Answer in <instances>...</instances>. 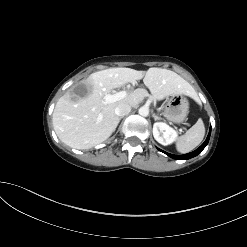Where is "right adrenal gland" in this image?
Masks as SVG:
<instances>
[{
	"mask_svg": "<svg viewBox=\"0 0 247 247\" xmlns=\"http://www.w3.org/2000/svg\"><path fill=\"white\" fill-rule=\"evenodd\" d=\"M121 119H122V117L119 118V122H120Z\"/></svg>",
	"mask_w": 247,
	"mask_h": 247,
	"instance_id": "1",
	"label": "right adrenal gland"
}]
</instances>
